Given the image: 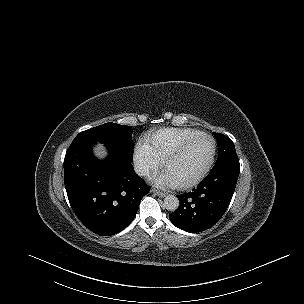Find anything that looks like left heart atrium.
Returning <instances> with one entry per match:
<instances>
[{
  "instance_id": "39dd6f15",
  "label": "left heart atrium",
  "mask_w": 304,
  "mask_h": 304,
  "mask_svg": "<svg viewBox=\"0 0 304 304\" xmlns=\"http://www.w3.org/2000/svg\"><path fill=\"white\" fill-rule=\"evenodd\" d=\"M153 183L160 186L175 187L176 182L167 174L162 173L152 178Z\"/></svg>"
}]
</instances>
